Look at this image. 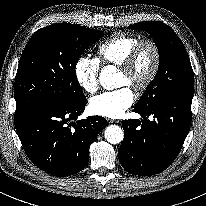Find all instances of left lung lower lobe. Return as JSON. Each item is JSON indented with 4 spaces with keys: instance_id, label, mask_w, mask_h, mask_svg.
Listing matches in <instances>:
<instances>
[{
    "instance_id": "0a47b994",
    "label": "left lung lower lobe",
    "mask_w": 206,
    "mask_h": 206,
    "mask_svg": "<svg viewBox=\"0 0 206 206\" xmlns=\"http://www.w3.org/2000/svg\"><path fill=\"white\" fill-rule=\"evenodd\" d=\"M192 98L159 101L133 112L143 119L122 122L124 140L119 161L129 173L139 176L164 171L177 157L191 126ZM153 116L154 120H149Z\"/></svg>"
}]
</instances>
